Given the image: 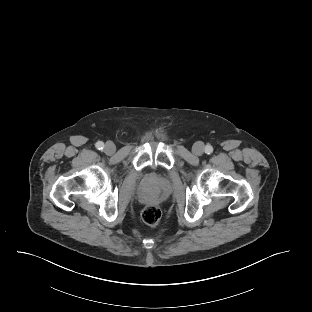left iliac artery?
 Masks as SVG:
<instances>
[{"mask_svg": "<svg viewBox=\"0 0 312 312\" xmlns=\"http://www.w3.org/2000/svg\"><path fill=\"white\" fill-rule=\"evenodd\" d=\"M213 152V147L211 145H206L205 153L211 154Z\"/></svg>", "mask_w": 312, "mask_h": 312, "instance_id": "left-iliac-artery-1", "label": "left iliac artery"}]
</instances>
